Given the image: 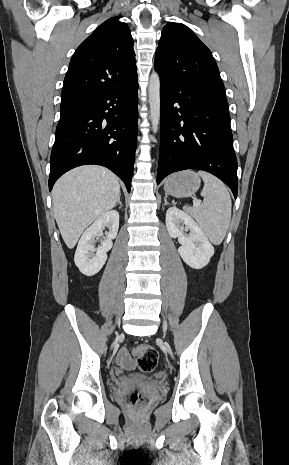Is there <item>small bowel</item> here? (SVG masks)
<instances>
[{
  "label": "small bowel",
  "instance_id": "small-bowel-1",
  "mask_svg": "<svg viewBox=\"0 0 289 465\" xmlns=\"http://www.w3.org/2000/svg\"><path fill=\"white\" fill-rule=\"evenodd\" d=\"M117 364L125 370H132L135 367V361L129 355L127 349H121L116 356Z\"/></svg>",
  "mask_w": 289,
  "mask_h": 465
}]
</instances>
